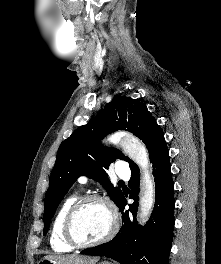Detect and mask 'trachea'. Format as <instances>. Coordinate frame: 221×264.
Instances as JSON below:
<instances>
[{"label":"trachea","instance_id":"3493384b","mask_svg":"<svg viewBox=\"0 0 221 264\" xmlns=\"http://www.w3.org/2000/svg\"><path fill=\"white\" fill-rule=\"evenodd\" d=\"M119 183H124V182L122 180H120Z\"/></svg>","mask_w":221,"mask_h":264}]
</instances>
